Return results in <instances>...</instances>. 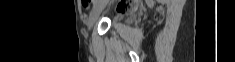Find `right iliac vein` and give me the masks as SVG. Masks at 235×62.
Segmentation results:
<instances>
[{
	"instance_id": "right-iliac-vein-1",
	"label": "right iliac vein",
	"mask_w": 235,
	"mask_h": 62,
	"mask_svg": "<svg viewBox=\"0 0 235 62\" xmlns=\"http://www.w3.org/2000/svg\"><path fill=\"white\" fill-rule=\"evenodd\" d=\"M107 5V2L104 1L98 5H96L89 17V21H88V27L89 29H91L94 25V23L96 22V20L98 19L100 13L102 12V10L105 8V6Z\"/></svg>"
}]
</instances>
